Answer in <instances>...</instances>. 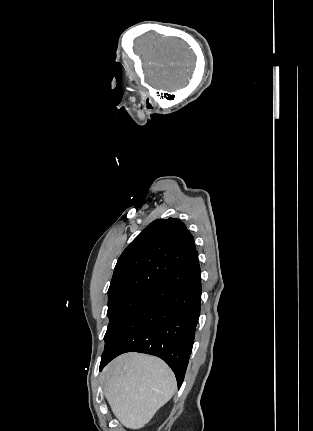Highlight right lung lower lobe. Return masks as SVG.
<instances>
[{"label":"right lung lower lobe","mask_w":313,"mask_h":431,"mask_svg":"<svg viewBox=\"0 0 313 431\" xmlns=\"http://www.w3.org/2000/svg\"><path fill=\"white\" fill-rule=\"evenodd\" d=\"M201 271L195 252L153 289L105 345L100 369L130 351L155 355L181 386L200 316Z\"/></svg>","instance_id":"right-lung-lower-lobe-1"}]
</instances>
